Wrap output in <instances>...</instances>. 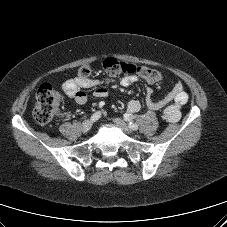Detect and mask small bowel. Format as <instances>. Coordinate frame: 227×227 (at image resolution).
Returning <instances> with one entry per match:
<instances>
[{
  "mask_svg": "<svg viewBox=\"0 0 227 227\" xmlns=\"http://www.w3.org/2000/svg\"><path fill=\"white\" fill-rule=\"evenodd\" d=\"M138 81L136 75L124 76L120 84L128 87ZM101 82L93 78H74L65 81L62 84V90L65 94L73 98L78 104L83 105L87 102V95L84 92L86 89H94L93 95L96 98H105L108 96L106 88L100 86ZM188 101V95L184 91L181 83L175 84L170 92L162 98H156L151 88L146 89V104L150 110L163 109V118L171 123L178 122L181 118V107ZM142 109L141 103L136 100H130L126 105L128 116H133Z\"/></svg>",
  "mask_w": 227,
  "mask_h": 227,
  "instance_id": "1",
  "label": "small bowel"
}]
</instances>
